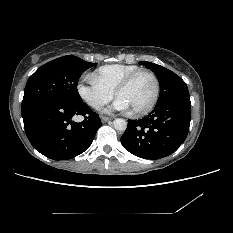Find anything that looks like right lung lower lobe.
Here are the masks:
<instances>
[{"instance_id": "98d812e1", "label": "right lung lower lobe", "mask_w": 233, "mask_h": 233, "mask_svg": "<svg viewBox=\"0 0 233 233\" xmlns=\"http://www.w3.org/2000/svg\"><path fill=\"white\" fill-rule=\"evenodd\" d=\"M74 115L85 119L76 123ZM22 117L32 146L53 160L74 158L86 151L102 125L99 115L83 101L38 100L22 106Z\"/></svg>"}]
</instances>
